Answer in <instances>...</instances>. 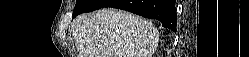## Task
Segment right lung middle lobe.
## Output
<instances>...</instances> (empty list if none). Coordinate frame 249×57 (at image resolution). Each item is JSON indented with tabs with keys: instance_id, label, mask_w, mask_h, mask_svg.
I'll use <instances>...</instances> for the list:
<instances>
[{
	"instance_id": "obj_1",
	"label": "right lung middle lobe",
	"mask_w": 249,
	"mask_h": 57,
	"mask_svg": "<svg viewBox=\"0 0 249 57\" xmlns=\"http://www.w3.org/2000/svg\"><path fill=\"white\" fill-rule=\"evenodd\" d=\"M91 0H77L75 11L82 10L90 4Z\"/></svg>"
}]
</instances>
